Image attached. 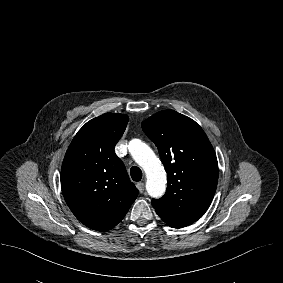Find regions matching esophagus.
<instances>
[{
    "label": "esophagus",
    "instance_id": "obj_1",
    "mask_svg": "<svg viewBox=\"0 0 283 283\" xmlns=\"http://www.w3.org/2000/svg\"><path fill=\"white\" fill-rule=\"evenodd\" d=\"M137 188L139 190L140 193H143L144 192V189H145V185L143 182H139L137 183Z\"/></svg>",
    "mask_w": 283,
    "mask_h": 283
}]
</instances>
